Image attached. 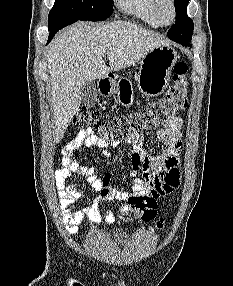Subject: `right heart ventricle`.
I'll return each instance as SVG.
<instances>
[{
  "label": "right heart ventricle",
  "mask_w": 233,
  "mask_h": 286,
  "mask_svg": "<svg viewBox=\"0 0 233 286\" xmlns=\"http://www.w3.org/2000/svg\"><path fill=\"white\" fill-rule=\"evenodd\" d=\"M118 8L127 15L133 16L151 27H159L160 23L153 13L152 0H115Z\"/></svg>",
  "instance_id": "right-heart-ventricle-1"
}]
</instances>
